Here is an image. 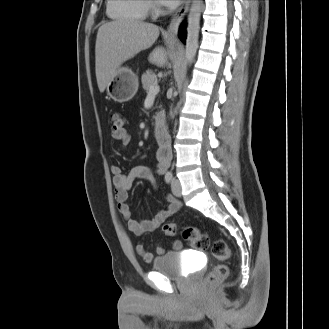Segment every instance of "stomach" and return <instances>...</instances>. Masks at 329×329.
Here are the masks:
<instances>
[{
  "label": "stomach",
  "mask_w": 329,
  "mask_h": 329,
  "mask_svg": "<svg viewBox=\"0 0 329 329\" xmlns=\"http://www.w3.org/2000/svg\"><path fill=\"white\" fill-rule=\"evenodd\" d=\"M138 86L137 75L128 67H120L106 87L107 95L115 102H127L134 97Z\"/></svg>",
  "instance_id": "1"
}]
</instances>
